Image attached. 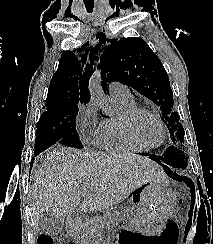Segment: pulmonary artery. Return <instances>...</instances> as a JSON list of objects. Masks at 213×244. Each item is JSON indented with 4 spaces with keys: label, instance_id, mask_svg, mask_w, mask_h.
<instances>
[{
    "label": "pulmonary artery",
    "instance_id": "1",
    "mask_svg": "<svg viewBox=\"0 0 213 244\" xmlns=\"http://www.w3.org/2000/svg\"><path fill=\"white\" fill-rule=\"evenodd\" d=\"M109 93L113 98L132 99L133 96L127 86L120 82H111L109 84Z\"/></svg>",
    "mask_w": 213,
    "mask_h": 244
}]
</instances>
